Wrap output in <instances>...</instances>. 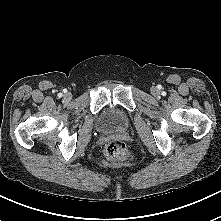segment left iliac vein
<instances>
[{
  "instance_id": "left-iliac-vein-1",
  "label": "left iliac vein",
  "mask_w": 221,
  "mask_h": 221,
  "mask_svg": "<svg viewBox=\"0 0 221 221\" xmlns=\"http://www.w3.org/2000/svg\"><path fill=\"white\" fill-rule=\"evenodd\" d=\"M151 93H152L154 96H156V95H158V90H157L156 88H153V89L151 90Z\"/></svg>"
}]
</instances>
